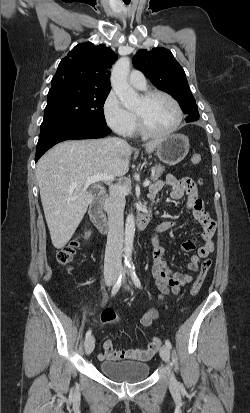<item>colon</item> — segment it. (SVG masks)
<instances>
[{"label":"colon","mask_w":250,"mask_h":413,"mask_svg":"<svg viewBox=\"0 0 250 413\" xmlns=\"http://www.w3.org/2000/svg\"><path fill=\"white\" fill-rule=\"evenodd\" d=\"M201 159H202L201 155L198 153H194L191 156V162L193 164H199L201 162ZM77 247H78V242L74 241L70 243L68 246H66L65 248H63L62 250H60L57 254L58 262L61 265L68 266L76 255ZM210 267H211V260L206 258L202 262L198 277L195 280L191 288L190 293L192 296H195L201 289ZM118 319L119 318L116 317V314L112 309H106L102 313V316H101V320L103 323L111 322L112 325H117L120 322ZM117 326L120 327L121 325L118 324ZM150 345L158 349L161 345V340L158 337H154Z\"/></svg>","instance_id":"obj_1"}]
</instances>
